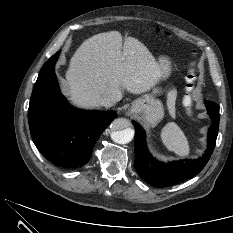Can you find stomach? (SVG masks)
Masks as SVG:
<instances>
[{
  "label": "stomach",
  "mask_w": 233,
  "mask_h": 233,
  "mask_svg": "<svg viewBox=\"0 0 233 233\" xmlns=\"http://www.w3.org/2000/svg\"><path fill=\"white\" fill-rule=\"evenodd\" d=\"M160 79L165 80L171 72L170 61L162 57L159 60ZM162 93L159 87H153L151 93L145 94L142 97L134 100L130 114L138 116L145 124L150 126L157 125L164 117V109L161 101L156 97Z\"/></svg>",
  "instance_id": "obj_1"
}]
</instances>
